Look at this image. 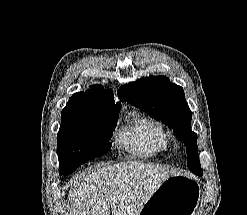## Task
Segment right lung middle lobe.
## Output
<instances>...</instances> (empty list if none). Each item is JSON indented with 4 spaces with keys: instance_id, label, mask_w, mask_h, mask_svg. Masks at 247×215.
<instances>
[{
    "instance_id": "1",
    "label": "right lung middle lobe",
    "mask_w": 247,
    "mask_h": 215,
    "mask_svg": "<svg viewBox=\"0 0 247 215\" xmlns=\"http://www.w3.org/2000/svg\"><path fill=\"white\" fill-rule=\"evenodd\" d=\"M119 112L87 107L69 99L62 110L57 135L59 174L74 172L82 163L106 153Z\"/></svg>"
}]
</instances>
